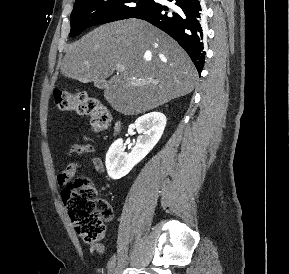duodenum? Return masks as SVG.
I'll use <instances>...</instances> for the list:
<instances>
[{
	"label": "duodenum",
	"instance_id": "obj_1",
	"mask_svg": "<svg viewBox=\"0 0 289 274\" xmlns=\"http://www.w3.org/2000/svg\"><path fill=\"white\" fill-rule=\"evenodd\" d=\"M119 127H120V125H119V124H116V126H115V131H118V130H119Z\"/></svg>",
	"mask_w": 289,
	"mask_h": 274
}]
</instances>
